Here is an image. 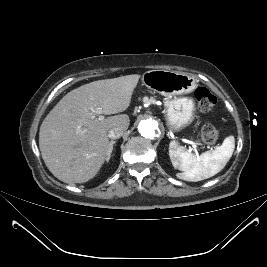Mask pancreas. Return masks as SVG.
<instances>
[{
    "label": "pancreas",
    "mask_w": 267,
    "mask_h": 267,
    "mask_svg": "<svg viewBox=\"0 0 267 267\" xmlns=\"http://www.w3.org/2000/svg\"><path fill=\"white\" fill-rule=\"evenodd\" d=\"M143 101H144V102H147V103H148V102H152V103L155 102V100H154L153 98H150V99H149L148 97H144V98H143Z\"/></svg>",
    "instance_id": "1"
}]
</instances>
